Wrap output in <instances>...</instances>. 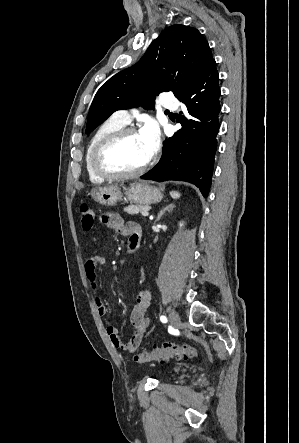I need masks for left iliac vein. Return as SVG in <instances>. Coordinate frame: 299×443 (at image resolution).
<instances>
[{
  "instance_id": "left-iliac-vein-1",
  "label": "left iliac vein",
  "mask_w": 299,
  "mask_h": 443,
  "mask_svg": "<svg viewBox=\"0 0 299 443\" xmlns=\"http://www.w3.org/2000/svg\"><path fill=\"white\" fill-rule=\"evenodd\" d=\"M169 320H170L171 325L174 328H176V329L181 328V320H180V317H179V315H178V313L176 311L172 310L170 312Z\"/></svg>"
}]
</instances>
